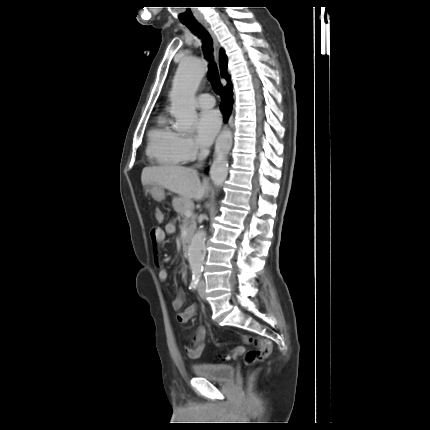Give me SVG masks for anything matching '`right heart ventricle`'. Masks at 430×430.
Here are the masks:
<instances>
[{
  "label": "right heart ventricle",
  "mask_w": 430,
  "mask_h": 430,
  "mask_svg": "<svg viewBox=\"0 0 430 430\" xmlns=\"http://www.w3.org/2000/svg\"><path fill=\"white\" fill-rule=\"evenodd\" d=\"M179 134L168 124L165 116H159L148 132L146 153L149 159L163 166H178L185 159L178 146Z\"/></svg>",
  "instance_id": "1"
}]
</instances>
